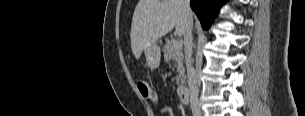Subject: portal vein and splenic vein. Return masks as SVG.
<instances>
[{"label": "portal vein and splenic vein", "mask_w": 305, "mask_h": 116, "mask_svg": "<svg viewBox=\"0 0 305 116\" xmlns=\"http://www.w3.org/2000/svg\"><path fill=\"white\" fill-rule=\"evenodd\" d=\"M182 48V42L181 41H175L173 43V49L174 50H178V49H181Z\"/></svg>", "instance_id": "portal-vein-and-splenic-vein-1"}]
</instances>
